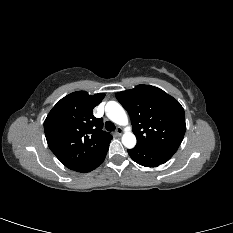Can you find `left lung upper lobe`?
Returning a JSON list of instances; mask_svg holds the SVG:
<instances>
[{
  "instance_id": "left-lung-upper-lobe-1",
  "label": "left lung upper lobe",
  "mask_w": 233,
  "mask_h": 233,
  "mask_svg": "<svg viewBox=\"0 0 233 233\" xmlns=\"http://www.w3.org/2000/svg\"><path fill=\"white\" fill-rule=\"evenodd\" d=\"M116 98L130 115L138 145L178 149L186 124L177 100L150 85L118 92Z\"/></svg>"
}]
</instances>
